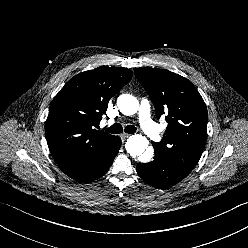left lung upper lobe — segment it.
<instances>
[{
	"instance_id": "1",
	"label": "left lung upper lobe",
	"mask_w": 248,
	"mask_h": 248,
	"mask_svg": "<svg viewBox=\"0 0 248 248\" xmlns=\"http://www.w3.org/2000/svg\"><path fill=\"white\" fill-rule=\"evenodd\" d=\"M135 77L151 98L157 118L168 126L155 152L190 173L199 161L207 139V109L196 87L165 69L137 68Z\"/></svg>"
}]
</instances>
